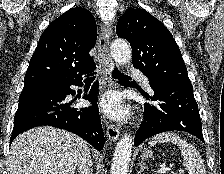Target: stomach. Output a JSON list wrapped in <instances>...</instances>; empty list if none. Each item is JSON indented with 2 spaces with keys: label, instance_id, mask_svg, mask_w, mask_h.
Returning a JSON list of instances; mask_svg holds the SVG:
<instances>
[{
  "label": "stomach",
  "instance_id": "1",
  "mask_svg": "<svg viewBox=\"0 0 224 174\" xmlns=\"http://www.w3.org/2000/svg\"><path fill=\"white\" fill-rule=\"evenodd\" d=\"M153 155L152 151L151 150H144L142 153H141V158L144 160V159H148V158H151Z\"/></svg>",
  "mask_w": 224,
  "mask_h": 174
}]
</instances>
